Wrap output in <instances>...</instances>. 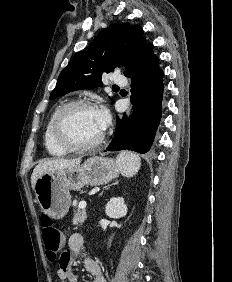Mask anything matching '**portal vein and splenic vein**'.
Wrapping results in <instances>:
<instances>
[{"instance_id":"obj_1","label":"portal vein and splenic vein","mask_w":232,"mask_h":282,"mask_svg":"<svg viewBox=\"0 0 232 282\" xmlns=\"http://www.w3.org/2000/svg\"><path fill=\"white\" fill-rule=\"evenodd\" d=\"M86 206H87V204H86L85 201H81V202L79 203V208H80V209H85Z\"/></svg>"}]
</instances>
